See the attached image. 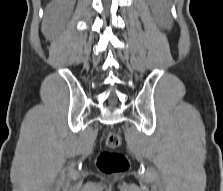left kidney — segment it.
<instances>
[{"label": "left kidney", "mask_w": 223, "mask_h": 191, "mask_svg": "<svg viewBox=\"0 0 223 191\" xmlns=\"http://www.w3.org/2000/svg\"><path fill=\"white\" fill-rule=\"evenodd\" d=\"M153 5L156 10L160 13L162 18L164 19L166 26L170 27V16H169V0H153Z\"/></svg>", "instance_id": "obj_1"}]
</instances>
